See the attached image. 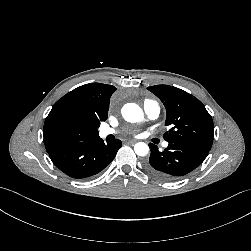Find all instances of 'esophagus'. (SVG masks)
I'll return each mask as SVG.
<instances>
[{
	"mask_svg": "<svg viewBox=\"0 0 251 251\" xmlns=\"http://www.w3.org/2000/svg\"><path fill=\"white\" fill-rule=\"evenodd\" d=\"M127 142L130 144H134L136 142V140H128Z\"/></svg>",
	"mask_w": 251,
	"mask_h": 251,
	"instance_id": "34e87169",
	"label": "esophagus"
}]
</instances>
